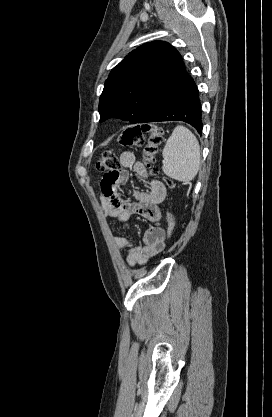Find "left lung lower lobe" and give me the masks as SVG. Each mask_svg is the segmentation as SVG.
<instances>
[{
	"mask_svg": "<svg viewBox=\"0 0 272 417\" xmlns=\"http://www.w3.org/2000/svg\"><path fill=\"white\" fill-rule=\"evenodd\" d=\"M179 120L202 132V112L199 92L186 70L176 80L169 92L141 123Z\"/></svg>",
	"mask_w": 272,
	"mask_h": 417,
	"instance_id": "1",
	"label": "left lung lower lobe"
}]
</instances>
